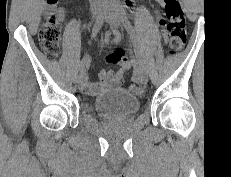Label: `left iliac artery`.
<instances>
[{
	"instance_id": "44dca946",
	"label": "left iliac artery",
	"mask_w": 231,
	"mask_h": 177,
	"mask_svg": "<svg viewBox=\"0 0 231 177\" xmlns=\"http://www.w3.org/2000/svg\"><path fill=\"white\" fill-rule=\"evenodd\" d=\"M115 9L118 12L120 19L123 23V25L125 26L127 32L129 33L131 39H132V51H133V56L135 58V60H137L138 63V67H140L141 71L145 70V62H144V58H142V55L140 53V48H139V42L136 41V35H135V31L133 26L131 25L127 13L123 7V5L119 2L115 3Z\"/></svg>"
}]
</instances>
